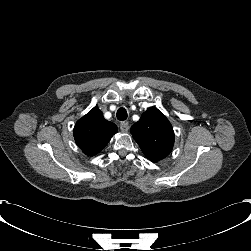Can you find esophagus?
<instances>
[{
    "label": "esophagus",
    "instance_id": "obj_1",
    "mask_svg": "<svg viewBox=\"0 0 251 251\" xmlns=\"http://www.w3.org/2000/svg\"><path fill=\"white\" fill-rule=\"evenodd\" d=\"M120 129H121L122 131H128V129H129V124H128V122H121V123H120Z\"/></svg>",
    "mask_w": 251,
    "mask_h": 251
}]
</instances>
